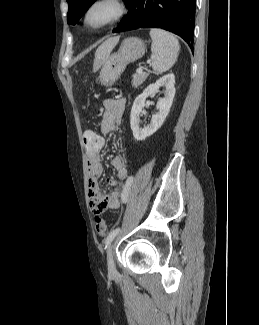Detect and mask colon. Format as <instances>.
Listing matches in <instances>:
<instances>
[{"label": "colon", "mask_w": 259, "mask_h": 325, "mask_svg": "<svg viewBox=\"0 0 259 325\" xmlns=\"http://www.w3.org/2000/svg\"><path fill=\"white\" fill-rule=\"evenodd\" d=\"M84 144L87 149H102L103 148V139L97 138V135L93 131H86L84 133ZM94 228L96 233L104 237L107 233V226L105 220L100 216L94 217Z\"/></svg>", "instance_id": "5ec220e1"}]
</instances>
